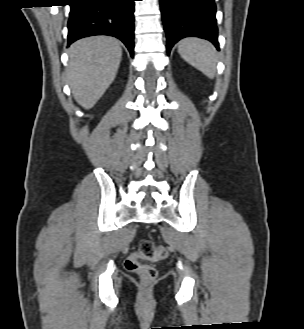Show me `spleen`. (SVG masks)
<instances>
[{
	"label": "spleen",
	"instance_id": "3e777b00",
	"mask_svg": "<svg viewBox=\"0 0 304 329\" xmlns=\"http://www.w3.org/2000/svg\"><path fill=\"white\" fill-rule=\"evenodd\" d=\"M178 53L207 77L214 78L217 52L210 42L198 38L183 39L178 44Z\"/></svg>",
	"mask_w": 304,
	"mask_h": 329
}]
</instances>
